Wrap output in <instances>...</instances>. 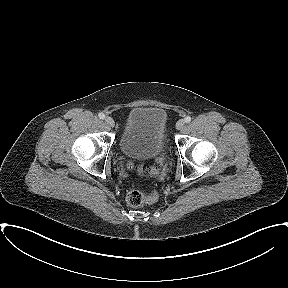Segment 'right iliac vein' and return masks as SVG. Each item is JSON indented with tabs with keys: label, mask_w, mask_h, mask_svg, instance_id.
Masks as SVG:
<instances>
[{
	"label": "right iliac vein",
	"mask_w": 288,
	"mask_h": 288,
	"mask_svg": "<svg viewBox=\"0 0 288 288\" xmlns=\"http://www.w3.org/2000/svg\"><path fill=\"white\" fill-rule=\"evenodd\" d=\"M105 121H106V123H107L110 127H113V126L115 125V122H114V120H113L112 117L107 116V117L105 118Z\"/></svg>",
	"instance_id": "right-iliac-vein-1"
}]
</instances>
